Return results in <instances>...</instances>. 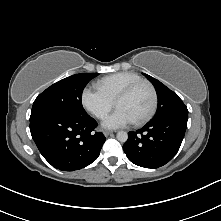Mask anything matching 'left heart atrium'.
<instances>
[{
    "label": "left heart atrium",
    "instance_id": "1",
    "mask_svg": "<svg viewBox=\"0 0 221 221\" xmlns=\"http://www.w3.org/2000/svg\"><path fill=\"white\" fill-rule=\"evenodd\" d=\"M132 122V118L123 109L117 108L111 115L103 120L102 125L105 128L117 129Z\"/></svg>",
    "mask_w": 221,
    "mask_h": 221
}]
</instances>
